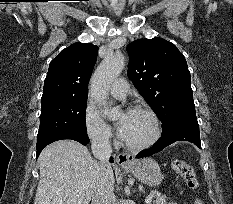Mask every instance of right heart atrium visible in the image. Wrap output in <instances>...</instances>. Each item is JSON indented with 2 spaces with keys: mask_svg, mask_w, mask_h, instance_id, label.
I'll list each match as a JSON object with an SVG mask.
<instances>
[{
  "mask_svg": "<svg viewBox=\"0 0 233 204\" xmlns=\"http://www.w3.org/2000/svg\"><path fill=\"white\" fill-rule=\"evenodd\" d=\"M84 127L87 137L93 144L107 146L113 141L111 128L92 106H87L85 109Z\"/></svg>",
  "mask_w": 233,
  "mask_h": 204,
  "instance_id": "1",
  "label": "right heart atrium"
}]
</instances>
